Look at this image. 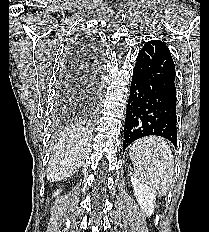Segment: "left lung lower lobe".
I'll return each mask as SVG.
<instances>
[{
    "instance_id": "obj_1",
    "label": "left lung lower lobe",
    "mask_w": 209,
    "mask_h": 232,
    "mask_svg": "<svg viewBox=\"0 0 209 232\" xmlns=\"http://www.w3.org/2000/svg\"><path fill=\"white\" fill-rule=\"evenodd\" d=\"M175 66L168 47L148 41L137 56L125 118L123 150L156 135L177 145Z\"/></svg>"
}]
</instances>
